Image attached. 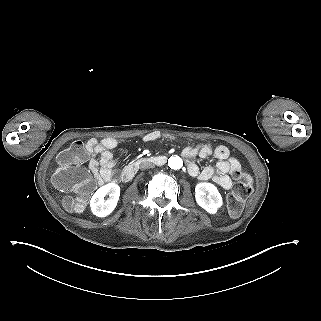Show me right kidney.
<instances>
[{"mask_svg":"<svg viewBox=\"0 0 321 321\" xmlns=\"http://www.w3.org/2000/svg\"><path fill=\"white\" fill-rule=\"evenodd\" d=\"M109 195L108 199H105ZM120 198V187L116 183H107L96 190L90 200L92 214L104 218L110 215L116 208Z\"/></svg>","mask_w":321,"mask_h":321,"instance_id":"right-kidney-1","label":"right kidney"}]
</instances>
